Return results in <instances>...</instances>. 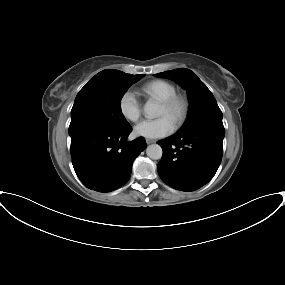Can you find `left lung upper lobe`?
I'll list each match as a JSON object with an SVG mask.
<instances>
[{"label":"left lung upper lobe","instance_id":"5c2ea615","mask_svg":"<svg viewBox=\"0 0 285 285\" xmlns=\"http://www.w3.org/2000/svg\"><path fill=\"white\" fill-rule=\"evenodd\" d=\"M155 76L172 79L188 91L189 115L185 125L178 133H187L204 124L223 126L222 112L213 94L191 70L179 68L158 73Z\"/></svg>","mask_w":285,"mask_h":285}]
</instances>
